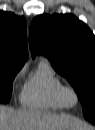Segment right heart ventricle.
<instances>
[{"label":"right heart ventricle","mask_w":95,"mask_h":130,"mask_svg":"<svg viewBox=\"0 0 95 130\" xmlns=\"http://www.w3.org/2000/svg\"><path fill=\"white\" fill-rule=\"evenodd\" d=\"M63 83L54 68L46 60H40L36 70L28 77L20 100L27 108L61 110L65 108L60 89Z\"/></svg>","instance_id":"obj_1"}]
</instances>
